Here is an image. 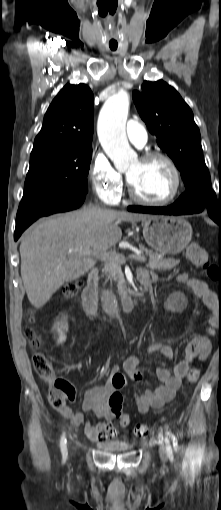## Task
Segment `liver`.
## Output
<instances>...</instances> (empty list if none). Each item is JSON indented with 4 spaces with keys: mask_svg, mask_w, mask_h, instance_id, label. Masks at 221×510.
I'll use <instances>...</instances> for the list:
<instances>
[{
    "mask_svg": "<svg viewBox=\"0 0 221 510\" xmlns=\"http://www.w3.org/2000/svg\"><path fill=\"white\" fill-rule=\"evenodd\" d=\"M148 218L93 206L38 221L20 244L21 277L30 303L44 306L64 283L86 274L101 253L120 241L118 222Z\"/></svg>",
    "mask_w": 221,
    "mask_h": 510,
    "instance_id": "liver-1",
    "label": "liver"
}]
</instances>
